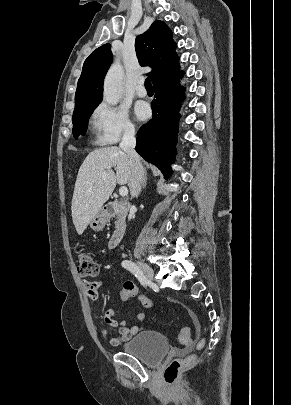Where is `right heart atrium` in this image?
Returning a JSON list of instances; mask_svg holds the SVG:
<instances>
[{"label":"right heart atrium","mask_w":291,"mask_h":405,"mask_svg":"<svg viewBox=\"0 0 291 405\" xmlns=\"http://www.w3.org/2000/svg\"><path fill=\"white\" fill-rule=\"evenodd\" d=\"M98 145H114L121 139L130 138L136 127L128 111L120 106L100 103L93 111L91 118Z\"/></svg>","instance_id":"obj_1"}]
</instances>
